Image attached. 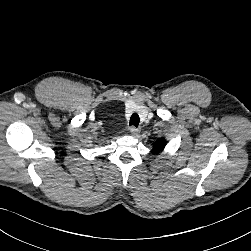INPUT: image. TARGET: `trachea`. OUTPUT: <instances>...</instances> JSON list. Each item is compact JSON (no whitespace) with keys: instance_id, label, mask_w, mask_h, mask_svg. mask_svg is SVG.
I'll use <instances>...</instances> for the list:
<instances>
[{"instance_id":"trachea-1","label":"trachea","mask_w":251,"mask_h":251,"mask_svg":"<svg viewBox=\"0 0 251 251\" xmlns=\"http://www.w3.org/2000/svg\"><path fill=\"white\" fill-rule=\"evenodd\" d=\"M139 122H140V118L138 116V114H133L130 118V126H135V127H138L139 125Z\"/></svg>"}]
</instances>
